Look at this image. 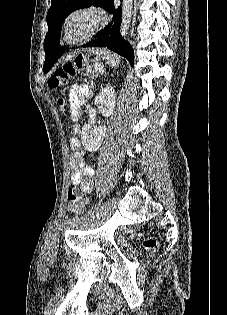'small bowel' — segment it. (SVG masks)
Returning a JSON list of instances; mask_svg holds the SVG:
<instances>
[{"label":"small bowel","mask_w":227,"mask_h":315,"mask_svg":"<svg viewBox=\"0 0 227 315\" xmlns=\"http://www.w3.org/2000/svg\"><path fill=\"white\" fill-rule=\"evenodd\" d=\"M88 97L89 89L87 85L80 83L72 88L69 98L75 121L80 114L82 101ZM72 130L75 134L79 132L80 126L77 122L74 123ZM69 149L72 152L70 157L71 183L80 185L84 193L90 194L94 188L95 169L85 161L84 152L77 137L74 136L69 140Z\"/></svg>","instance_id":"c3829d8e"}]
</instances>
